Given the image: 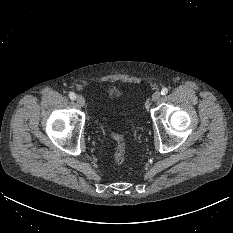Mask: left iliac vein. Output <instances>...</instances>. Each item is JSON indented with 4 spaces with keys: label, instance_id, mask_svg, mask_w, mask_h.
I'll return each instance as SVG.
<instances>
[{
    "label": "left iliac vein",
    "instance_id": "4c4485c4",
    "mask_svg": "<svg viewBox=\"0 0 233 233\" xmlns=\"http://www.w3.org/2000/svg\"><path fill=\"white\" fill-rule=\"evenodd\" d=\"M160 97H161L160 92H159V91H156V92H154L153 95H152V100H153V101H158V100L160 99Z\"/></svg>",
    "mask_w": 233,
    "mask_h": 233
}]
</instances>
